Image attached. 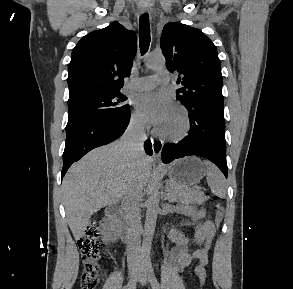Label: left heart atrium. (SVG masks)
<instances>
[{
  "instance_id": "left-heart-atrium-1",
  "label": "left heart atrium",
  "mask_w": 293,
  "mask_h": 289,
  "mask_svg": "<svg viewBox=\"0 0 293 289\" xmlns=\"http://www.w3.org/2000/svg\"><path fill=\"white\" fill-rule=\"evenodd\" d=\"M137 108L155 126L162 125L174 110L171 99L164 93L148 92L138 97Z\"/></svg>"
}]
</instances>
